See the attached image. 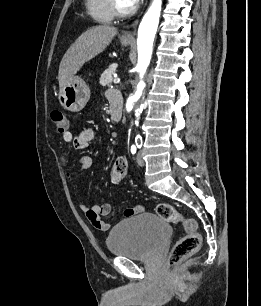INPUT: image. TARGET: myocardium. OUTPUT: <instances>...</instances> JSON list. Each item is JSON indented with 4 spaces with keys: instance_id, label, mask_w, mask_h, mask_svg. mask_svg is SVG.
I'll return each mask as SVG.
<instances>
[{
    "instance_id": "myocardium-1",
    "label": "myocardium",
    "mask_w": 261,
    "mask_h": 306,
    "mask_svg": "<svg viewBox=\"0 0 261 306\" xmlns=\"http://www.w3.org/2000/svg\"><path fill=\"white\" fill-rule=\"evenodd\" d=\"M110 8L115 16L124 17L132 14L135 10L134 6H130L129 8H121L116 0H109Z\"/></svg>"
}]
</instances>
